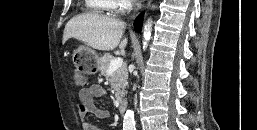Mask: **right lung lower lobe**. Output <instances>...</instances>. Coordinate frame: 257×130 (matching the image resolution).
Returning a JSON list of instances; mask_svg holds the SVG:
<instances>
[{"instance_id": "obj_1", "label": "right lung lower lobe", "mask_w": 257, "mask_h": 130, "mask_svg": "<svg viewBox=\"0 0 257 130\" xmlns=\"http://www.w3.org/2000/svg\"><path fill=\"white\" fill-rule=\"evenodd\" d=\"M142 21H143V14H140L134 24V27L138 32L141 31L142 29Z\"/></svg>"}]
</instances>
